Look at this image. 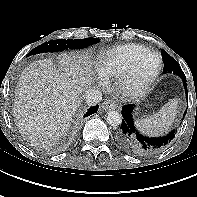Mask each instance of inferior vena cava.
<instances>
[{"mask_svg":"<svg viewBox=\"0 0 197 197\" xmlns=\"http://www.w3.org/2000/svg\"><path fill=\"white\" fill-rule=\"evenodd\" d=\"M84 99L88 105H96L102 100V93L97 89H88L84 92Z\"/></svg>","mask_w":197,"mask_h":197,"instance_id":"inferior-vena-cava-1","label":"inferior vena cava"}]
</instances>
